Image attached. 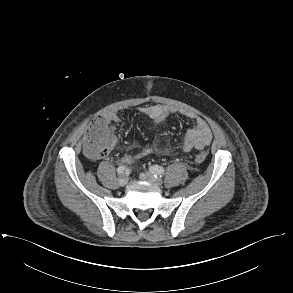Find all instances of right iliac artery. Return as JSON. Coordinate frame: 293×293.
Segmentation results:
<instances>
[{"mask_svg": "<svg viewBox=\"0 0 293 293\" xmlns=\"http://www.w3.org/2000/svg\"><path fill=\"white\" fill-rule=\"evenodd\" d=\"M128 171V168L126 167V166H119L118 168H117V173L118 174H123V173H125V172H127Z\"/></svg>", "mask_w": 293, "mask_h": 293, "instance_id": "1", "label": "right iliac artery"}]
</instances>
